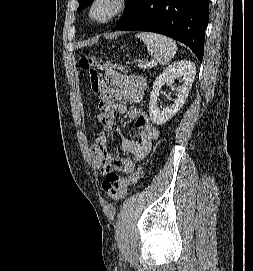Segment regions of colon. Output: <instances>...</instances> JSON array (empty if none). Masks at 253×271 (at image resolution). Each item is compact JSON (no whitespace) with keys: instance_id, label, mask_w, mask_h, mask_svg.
Listing matches in <instances>:
<instances>
[{"instance_id":"colon-1","label":"colon","mask_w":253,"mask_h":271,"mask_svg":"<svg viewBox=\"0 0 253 271\" xmlns=\"http://www.w3.org/2000/svg\"><path fill=\"white\" fill-rule=\"evenodd\" d=\"M83 70L90 72L89 81L92 91L98 94L102 88L99 82V73L95 70H111L116 69L117 65L109 63L102 58L94 55H84L79 61ZM142 170L139 169L128 177H123L115 173L110 174L102 183V189L105 194L113 200H120L125 197L130 186L135 184L141 177Z\"/></svg>"}]
</instances>
